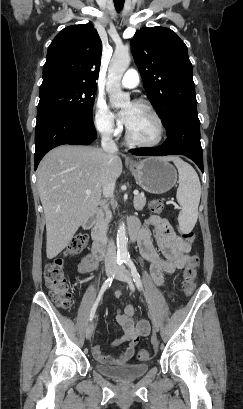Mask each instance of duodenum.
Segmentation results:
<instances>
[{
    "instance_id": "obj_1",
    "label": "duodenum",
    "mask_w": 243,
    "mask_h": 409,
    "mask_svg": "<svg viewBox=\"0 0 243 409\" xmlns=\"http://www.w3.org/2000/svg\"><path fill=\"white\" fill-rule=\"evenodd\" d=\"M99 213L97 210H94L91 215L89 216V218L87 219V224L90 225L92 223H95L98 219ZM130 235H131V239L132 241L136 242L138 241L139 235L138 232L136 230L131 229L130 230ZM106 245L103 244L97 234H94V239H93V244L91 247V252L92 255L96 258V259H103L106 255Z\"/></svg>"
}]
</instances>
